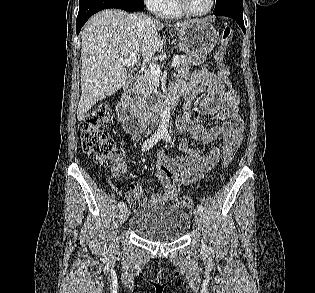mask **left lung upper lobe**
<instances>
[{
    "label": "left lung upper lobe",
    "mask_w": 315,
    "mask_h": 293,
    "mask_svg": "<svg viewBox=\"0 0 315 293\" xmlns=\"http://www.w3.org/2000/svg\"><path fill=\"white\" fill-rule=\"evenodd\" d=\"M224 11L243 12V0H216L213 14H218Z\"/></svg>",
    "instance_id": "obj_1"
}]
</instances>
